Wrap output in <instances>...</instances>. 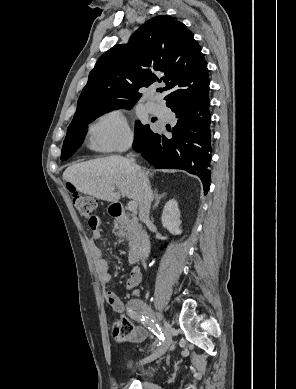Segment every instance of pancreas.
I'll return each mask as SVG.
<instances>
[{
	"mask_svg": "<svg viewBox=\"0 0 296 389\" xmlns=\"http://www.w3.org/2000/svg\"><path fill=\"white\" fill-rule=\"evenodd\" d=\"M114 234L118 236L120 238L119 241L122 242L124 238H130L132 236V228L125 225L120 220H116L114 225Z\"/></svg>",
	"mask_w": 296,
	"mask_h": 389,
	"instance_id": "pancreas-1",
	"label": "pancreas"
}]
</instances>
